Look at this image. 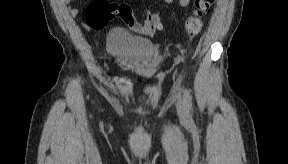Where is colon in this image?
Listing matches in <instances>:
<instances>
[{"mask_svg":"<svg viewBox=\"0 0 288 164\" xmlns=\"http://www.w3.org/2000/svg\"><path fill=\"white\" fill-rule=\"evenodd\" d=\"M212 0H196L191 15L185 22V35L196 37L203 26V16L207 13ZM115 16L125 20L127 27L135 32L148 36L153 35L162 27L161 17L158 13L149 15L141 24L125 4H117L108 0H93L86 12V23L94 29L105 27Z\"/></svg>","mask_w":288,"mask_h":164,"instance_id":"colon-1","label":"colon"}]
</instances>
